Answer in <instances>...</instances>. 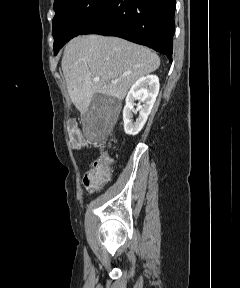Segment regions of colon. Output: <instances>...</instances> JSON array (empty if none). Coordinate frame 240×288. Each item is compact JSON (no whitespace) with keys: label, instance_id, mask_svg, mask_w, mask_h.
<instances>
[{"label":"colon","instance_id":"colon-1","mask_svg":"<svg viewBox=\"0 0 240 288\" xmlns=\"http://www.w3.org/2000/svg\"><path fill=\"white\" fill-rule=\"evenodd\" d=\"M67 132L72 148L79 149L84 145V138L75 121H68ZM111 168L112 159L106 153H102L84 176L83 182L86 189L96 191L105 185L110 179Z\"/></svg>","mask_w":240,"mask_h":288}]
</instances>
